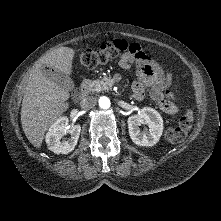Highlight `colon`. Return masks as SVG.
Listing matches in <instances>:
<instances>
[{
	"instance_id": "5ec220e1",
	"label": "colon",
	"mask_w": 221,
	"mask_h": 221,
	"mask_svg": "<svg viewBox=\"0 0 221 221\" xmlns=\"http://www.w3.org/2000/svg\"><path fill=\"white\" fill-rule=\"evenodd\" d=\"M120 49L109 41H105L101 44L98 50H86L80 56V62L82 65L93 68L107 63L110 59L114 58ZM78 93H73V98L77 99ZM166 97L173 100L175 98L171 91L166 92ZM193 123V112L187 110L185 114L179 119L176 127H171L166 130L165 136L172 143L182 142Z\"/></svg>"
}]
</instances>
